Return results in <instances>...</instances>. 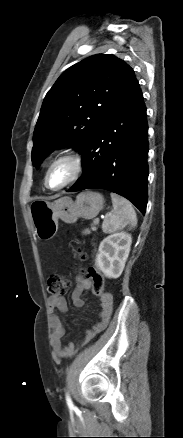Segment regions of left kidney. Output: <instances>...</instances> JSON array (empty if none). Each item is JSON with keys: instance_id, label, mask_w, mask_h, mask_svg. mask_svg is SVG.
<instances>
[{"instance_id": "1", "label": "left kidney", "mask_w": 183, "mask_h": 438, "mask_svg": "<svg viewBox=\"0 0 183 438\" xmlns=\"http://www.w3.org/2000/svg\"><path fill=\"white\" fill-rule=\"evenodd\" d=\"M132 237L127 232H117L104 238L99 245L97 267L108 278H118L123 272L130 252Z\"/></svg>"}]
</instances>
